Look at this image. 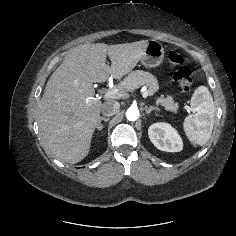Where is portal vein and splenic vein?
I'll list each match as a JSON object with an SVG mask.
<instances>
[{"label":"portal vein and splenic vein","instance_id":"obj_1","mask_svg":"<svg viewBox=\"0 0 236 236\" xmlns=\"http://www.w3.org/2000/svg\"><path fill=\"white\" fill-rule=\"evenodd\" d=\"M141 92H142V96L143 98H147L148 97V92L147 89L145 87L141 88ZM125 95V92L121 89H110L108 90L105 94H104V98L105 99H117V98H122ZM189 110V108L187 107V111Z\"/></svg>","mask_w":236,"mask_h":236}]
</instances>
